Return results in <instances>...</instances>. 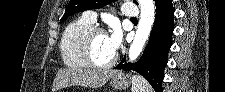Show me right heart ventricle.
<instances>
[{"label": "right heart ventricle", "instance_id": "right-heart-ventricle-1", "mask_svg": "<svg viewBox=\"0 0 225 92\" xmlns=\"http://www.w3.org/2000/svg\"><path fill=\"white\" fill-rule=\"evenodd\" d=\"M92 25L93 23L81 16L68 23L64 28L59 48L61 59L65 65L79 69L87 67L79 52V40Z\"/></svg>", "mask_w": 225, "mask_h": 92}]
</instances>
